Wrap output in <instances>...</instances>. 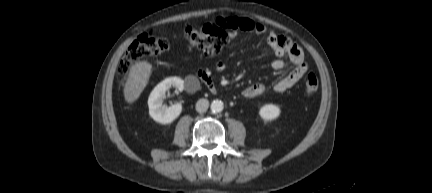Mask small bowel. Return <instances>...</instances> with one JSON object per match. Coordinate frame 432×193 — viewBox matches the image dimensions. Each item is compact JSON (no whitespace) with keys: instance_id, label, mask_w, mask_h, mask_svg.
I'll return each mask as SVG.
<instances>
[{"instance_id":"1","label":"small bowel","mask_w":432,"mask_h":193,"mask_svg":"<svg viewBox=\"0 0 432 193\" xmlns=\"http://www.w3.org/2000/svg\"><path fill=\"white\" fill-rule=\"evenodd\" d=\"M217 21L231 30H241L266 38V42L275 56L271 62V67L275 70H289L285 77L274 84L273 89L276 92L283 93L288 91L294 87L307 72L308 64L305 60L304 53L301 47L291 39L277 34L262 23L244 17L219 18ZM285 57L288 61L284 60ZM226 68L227 64L223 61H218L214 65V70L216 72H222ZM186 88L191 93L195 92L197 89L195 81L193 79L187 81ZM265 91L266 87L263 84L253 83L242 91V95L245 98H255L262 95Z\"/></svg>"}]
</instances>
